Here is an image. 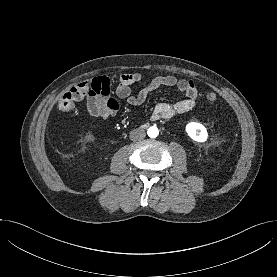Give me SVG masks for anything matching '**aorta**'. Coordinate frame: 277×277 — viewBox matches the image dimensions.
<instances>
[{
	"mask_svg": "<svg viewBox=\"0 0 277 277\" xmlns=\"http://www.w3.org/2000/svg\"><path fill=\"white\" fill-rule=\"evenodd\" d=\"M147 133H148V136H149V137H151V138H156V137L158 136V134H159V130H158L157 127L151 126V127L148 129Z\"/></svg>",
	"mask_w": 277,
	"mask_h": 277,
	"instance_id": "762f6f07",
	"label": "aorta"
}]
</instances>
